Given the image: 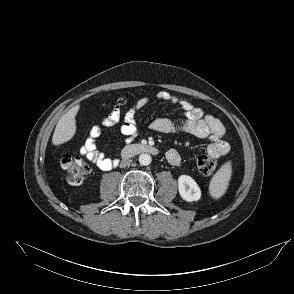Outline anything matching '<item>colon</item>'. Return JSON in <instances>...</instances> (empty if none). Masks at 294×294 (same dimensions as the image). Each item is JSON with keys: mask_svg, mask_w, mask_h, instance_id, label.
Listing matches in <instances>:
<instances>
[{"mask_svg": "<svg viewBox=\"0 0 294 294\" xmlns=\"http://www.w3.org/2000/svg\"><path fill=\"white\" fill-rule=\"evenodd\" d=\"M126 104L125 98H119L113 105V109H120ZM61 167L66 172V179L71 184L81 183L90 172L89 165L83 158L77 155L65 154L60 161ZM216 158L208 153L201 154L197 159V168L204 176H210L215 172Z\"/></svg>", "mask_w": 294, "mask_h": 294, "instance_id": "5ec220e1", "label": "colon"}]
</instances>
